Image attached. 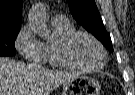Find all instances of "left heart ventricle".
Here are the masks:
<instances>
[{"mask_svg":"<svg viewBox=\"0 0 135 95\" xmlns=\"http://www.w3.org/2000/svg\"><path fill=\"white\" fill-rule=\"evenodd\" d=\"M69 56L77 63L96 67L102 63V54L97 45L84 36L76 38L69 48Z\"/></svg>","mask_w":135,"mask_h":95,"instance_id":"1","label":"left heart ventricle"}]
</instances>
